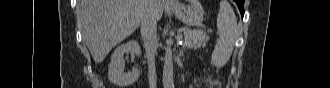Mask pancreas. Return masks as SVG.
I'll return each instance as SVG.
<instances>
[{
	"label": "pancreas",
	"mask_w": 330,
	"mask_h": 88,
	"mask_svg": "<svg viewBox=\"0 0 330 88\" xmlns=\"http://www.w3.org/2000/svg\"><path fill=\"white\" fill-rule=\"evenodd\" d=\"M181 32L183 33V47L195 50L206 47L209 37L204 31L183 28Z\"/></svg>",
	"instance_id": "1"
}]
</instances>
